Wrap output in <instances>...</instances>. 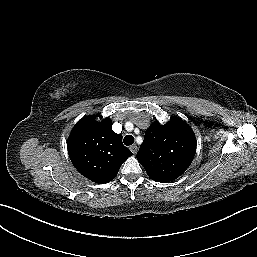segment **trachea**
<instances>
[{
  "label": "trachea",
  "mask_w": 257,
  "mask_h": 257,
  "mask_svg": "<svg viewBox=\"0 0 257 257\" xmlns=\"http://www.w3.org/2000/svg\"><path fill=\"white\" fill-rule=\"evenodd\" d=\"M123 143L126 146H130L134 143V137L132 135H127L124 139H123Z\"/></svg>",
  "instance_id": "1"
}]
</instances>
